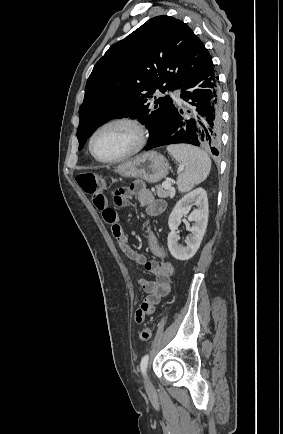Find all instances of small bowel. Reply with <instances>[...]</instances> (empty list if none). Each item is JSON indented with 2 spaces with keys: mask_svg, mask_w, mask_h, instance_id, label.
<instances>
[{
  "mask_svg": "<svg viewBox=\"0 0 283 434\" xmlns=\"http://www.w3.org/2000/svg\"><path fill=\"white\" fill-rule=\"evenodd\" d=\"M132 198L137 199L149 217L158 216L166 209V203L156 199L142 181H135L128 187L117 190L114 194V202L118 206L126 204ZM92 202L102 213L104 221L111 226L112 234L120 250L131 260L144 265L153 277L152 280L140 279V285L146 294L135 312L134 320L136 323H142L145 317L154 311L161 298L169 293L173 265L166 259V252L160 247L151 230H148L149 248L158 260L147 261L142 254L130 246L120 218L117 212L109 206L106 196L98 192L92 195Z\"/></svg>",
  "mask_w": 283,
  "mask_h": 434,
  "instance_id": "obj_1",
  "label": "small bowel"
}]
</instances>
